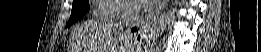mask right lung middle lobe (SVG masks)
<instances>
[{
  "label": "right lung middle lobe",
  "instance_id": "obj_1",
  "mask_svg": "<svg viewBox=\"0 0 261 52\" xmlns=\"http://www.w3.org/2000/svg\"><path fill=\"white\" fill-rule=\"evenodd\" d=\"M90 6L88 0H76L73 2L70 19L66 27L71 26L78 19H80L88 10Z\"/></svg>",
  "mask_w": 261,
  "mask_h": 52
}]
</instances>
